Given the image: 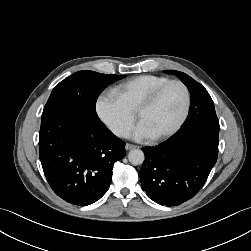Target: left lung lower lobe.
Segmentation results:
<instances>
[{"mask_svg":"<svg viewBox=\"0 0 251 251\" xmlns=\"http://www.w3.org/2000/svg\"><path fill=\"white\" fill-rule=\"evenodd\" d=\"M219 129V122H199L156 147L142 148L139 177L148 197L168 207L194 197L217 161Z\"/></svg>","mask_w":251,"mask_h":251,"instance_id":"obj_1","label":"left lung lower lobe"}]
</instances>
